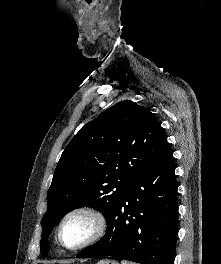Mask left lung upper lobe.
I'll return each mask as SVG.
<instances>
[{
  "mask_svg": "<svg viewBox=\"0 0 221 264\" xmlns=\"http://www.w3.org/2000/svg\"><path fill=\"white\" fill-rule=\"evenodd\" d=\"M166 143L153 114L130 100L87 123L65 148L54 172L42 218L41 253H48V236L68 212L88 206L107 219L130 183L152 165Z\"/></svg>",
  "mask_w": 221,
  "mask_h": 264,
  "instance_id": "1",
  "label": "left lung upper lobe"
}]
</instances>
